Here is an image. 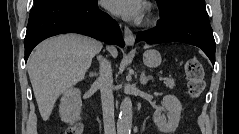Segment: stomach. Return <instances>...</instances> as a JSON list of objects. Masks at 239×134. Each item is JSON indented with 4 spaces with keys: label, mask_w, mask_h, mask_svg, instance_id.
Here are the masks:
<instances>
[{
    "label": "stomach",
    "mask_w": 239,
    "mask_h": 134,
    "mask_svg": "<svg viewBox=\"0 0 239 134\" xmlns=\"http://www.w3.org/2000/svg\"><path fill=\"white\" fill-rule=\"evenodd\" d=\"M161 55L157 50L150 49L144 52L143 62L150 68L157 67L161 64Z\"/></svg>",
    "instance_id": "0dacf381"
}]
</instances>
